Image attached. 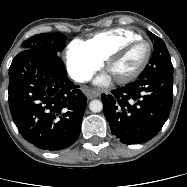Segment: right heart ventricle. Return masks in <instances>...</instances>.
Listing matches in <instances>:
<instances>
[{
  "instance_id": "right-heart-ventricle-1",
  "label": "right heart ventricle",
  "mask_w": 187,
  "mask_h": 187,
  "mask_svg": "<svg viewBox=\"0 0 187 187\" xmlns=\"http://www.w3.org/2000/svg\"><path fill=\"white\" fill-rule=\"evenodd\" d=\"M138 37L141 36L132 30L116 28L96 33L84 43L99 59L105 60L106 56L119 45Z\"/></svg>"
}]
</instances>
